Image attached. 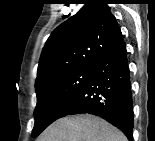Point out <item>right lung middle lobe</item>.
I'll list each match as a JSON object with an SVG mask.
<instances>
[{
  "instance_id": "dd1d6c3e",
  "label": "right lung middle lobe",
  "mask_w": 155,
  "mask_h": 141,
  "mask_svg": "<svg viewBox=\"0 0 155 141\" xmlns=\"http://www.w3.org/2000/svg\"><path fill=\"white\" fill-rule=\"evenodd\" d=\"M94 68H76L55 74L36 85L37 105L32 136L59 119L64 108L83 88Z\"/></svg>"
}]
</instances>
